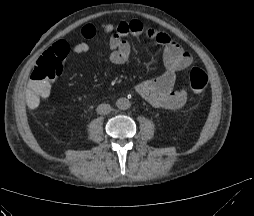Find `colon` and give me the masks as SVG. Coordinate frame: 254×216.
<instances>
[{
    "label": "colon",
    "instance_id": "obj_1",
    "mask_svg": "<svg viewBox=\"0 0 254 216\" xmlns=\"http://www.w3.org/2000/svg\"><path fill=\"white\" fill-rule=\"evenodd\" d=\"M60 47L64 49L66 45L61 44ZM65 58L64 52L53 50L38 59L23 90L22 102L27 110L37 112L45 107L52 87L51 80L62 73ZM189 83L196 94H202L208 83L207 73L202 68H192Z\"/></svg>",
    "mask_w": 254,
    "mask_h": 216
}]
</instances>
